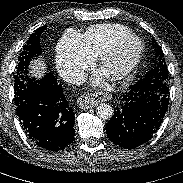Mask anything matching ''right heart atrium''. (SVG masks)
I'll return each mask as SVG.
<instances>
[{
	"label": "right heart atrium",
	"mask_w": 183,
	"mask_h": 183,
	"mask_svg": "<svg viewBox=\"0 0 183 183\" xmlns=\"http://www.w3.org/2000/svg\"><path fill=\"white\" fill-rule=\"evenodd\" d=\"M92 63V57L85 51L81 39L75 32L66 33L56 48L58 71L66 78L74 79Z\"/></svg>",
	"instance_id": "1"
}]
</instances>
